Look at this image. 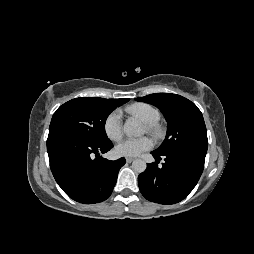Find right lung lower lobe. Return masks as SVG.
<instances>
[{
	"label": "right lung lower lobe",
	"instance_id": "obj_1",
	"mask_svg": "<svg viewBox=\"0 0 254 254\" xmlns=\"http://www.w3.org/2000/svg\"><path fill=\"white\" fill-rule=\"evenodd\" d=\"M112 147L111 141L96 143L64 130H49L50 168L61 189L83 204L106 200L126 163L124 158L110 161L101 156Z\"/></svg>",
	"mask_w": 254,
	"mask_h": 254
}]
</instances>
